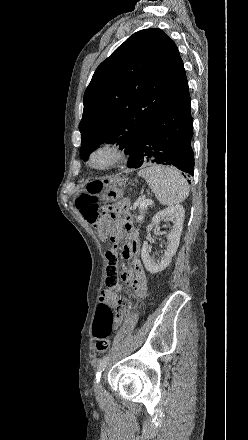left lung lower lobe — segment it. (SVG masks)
Returning a JSON list of instances; mask_svg holds the SVG:
<instances>
[{"mask_svg":"<svg viewBox=\"0 0 248 440\" xmlns=\"http://www.w3.org/2000/svg\"><path fill=\"white\" fill-rule=\"evenodd\" d=\"M190 109L187 88L145 128L131 149L127 166L139 168L146 162H152L173 165L188 176L193 175V118Z\"/></svg>","mask_w":248,"mask_h":440,"instance_id":"1","label":"left lung lower lobe"}]
</instances>
